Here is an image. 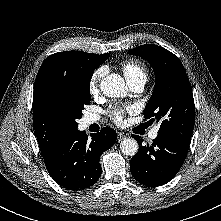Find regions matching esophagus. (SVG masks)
<instances>
[{"label": "esophagus", "mask_w": 221, "mask_h": 221, "mask_svg": "<svg viewBox=\"0 0 221 221\" xmlns=\"http://www.w3.org/2000/svg\"><path fill=\"white\" fill-rule=\"evenodd\" d=\"M126 137L125 133L123 132H118L117 133V141H121Z\"/></svg>", "instance_id": "obj_1"}]
</instances>
